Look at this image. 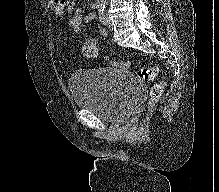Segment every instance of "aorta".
I'll list each match as a JSON object with an SVG mask.
<instances>
[{
	"label": "aorta",
	"mask_w": 219,
	"mask_h": 192,
	"mask_svg": "<svg viewBox=\"0 0 219 192\" xmlns=\"http://www.w3.org/2000/svg\"><path fill=\"white\" fill-rule=\"evenodd\" d=\"M96 3L99 5H105L107 3V0H96Z\"/></svg>",
	"instance_id": "aorta-1"
}]
</instances>
